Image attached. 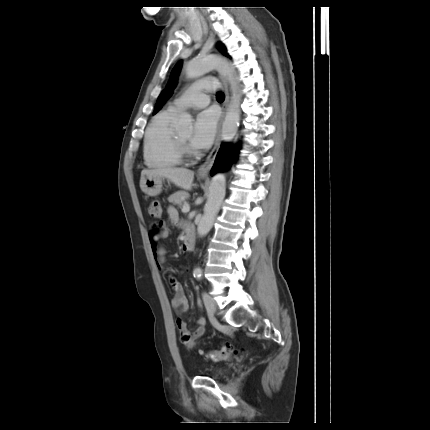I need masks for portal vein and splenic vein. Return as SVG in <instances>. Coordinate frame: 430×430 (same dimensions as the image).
I'll return each mask as SVG.
<instances>
[{"label":"portal vein and splenic vein","instance_id":"18ae733b","mask_svg":"<svg viewBox=\"0 0 430 430\" xmlns=\"http://www.w3.org/2000/svg\"><path fill=\"white\" fill-rule=\"evenodd\" d=\"M190 211V206L188 204H184L182 208V212L187 213Z\"/></svg>","mask_w":430,"mask_h":430}]
</instances>
